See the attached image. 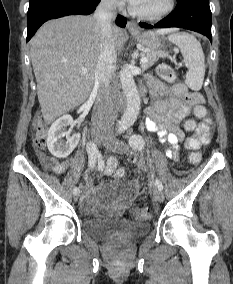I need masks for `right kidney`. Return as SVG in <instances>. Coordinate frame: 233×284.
Segmentation results:
<instances>
[{
  "instance_id": "ca27d5eb",
  "label": "right kidney",
  "mask_w": 233,
  "mask_h": 284,
  "mask_svg": "<svg viewBox=\"0 0 233 284\" xmlns=\"http://www.w3.org/2000/svg\"><path fill=\"white\" fill-rule=\"evenodd\" d=\"M73 118L70 115H63L50 127L47 137V146L51 154L57 158H66L77 146L80 134L69 136L67 127L73 125ZM66 137V140L63 138Z\"/></svg>"
}]
</instances>
